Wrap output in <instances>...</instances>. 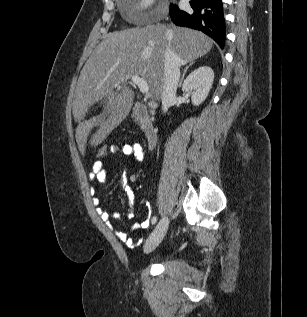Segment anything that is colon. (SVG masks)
I'll use <instances>...</instances> for the list:
<instances>
[{"instance_id":"colon-1","label":"colon","mask_w":307,"mask_h":317,"mask_svg":"<svg viewBox=\"0 0 307 317\" xmlns=\"http://www.w3.org/2000/svg\"><path fill=\"white\" fill-rule=\"evenodd\" d=\"M112 146H108V145H101L98 146L97 150H96V157H97V161L99 162H103L107 159L109 154H112Z\"/></svg>"}]
</instances>
